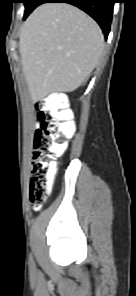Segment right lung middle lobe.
<instances>
[{
  "label": "right lung middle lobe",
  "instance_id": "dd1d6c3e",
  "mask_svg": "<svg viewBox=\"0 0 136 296\" xmlns=\"http://www.w3.org/2000/svg\"><path fill=\"white\" fill-rule=\"evenodd\" d=\"M25 4V13L23 19H26L27 16L36 8V3L38 0H23L22 1Z\"/></svg>",
  "mask_w": 136,
  "mask_h": 296
}]
</instances>
